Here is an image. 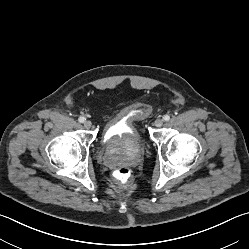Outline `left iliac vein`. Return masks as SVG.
Listing matches in <instances>:
<instances>
[{"mask_svg":"<svg viewBox=\"0 0 249 249\" xmlns=\"http://www.w3.org/2000/svg\"><path fill=\"white\" fill-rule=\"evenodd\" d=\"M154 125H155L156 127H161V126L163 125V120L160 119V118L156 119V120L154 121Z\"/></svg>","mask_w":249,"mask_h":249,"instance_id":"1","label":"left iliac vein"}]
</instances>
